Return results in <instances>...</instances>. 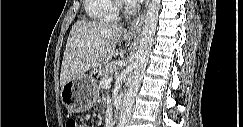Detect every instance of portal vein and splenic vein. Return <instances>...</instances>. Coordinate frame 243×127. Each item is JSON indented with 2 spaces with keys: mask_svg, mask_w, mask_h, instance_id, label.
<instances>
[{
  "mask_svg": "<svg viewBox=\"0 0 243 127\" xmlns=\"http://www.w3.org/2000/svg\"><path fill=\"white\" fill-rule=\"evenodd\" d=\"M115 75H117L116 71L111 74V77H109V78L101 81L100 82V85L102 87H108L110 85L111 81L113 80V78H114Z\"/></svg>",
  "mask_w": 243,
  "mask_h": 127,
  "instance_id": "18ae733b",
  "label": "portal vein and splenic vein"
}]
</instances>
